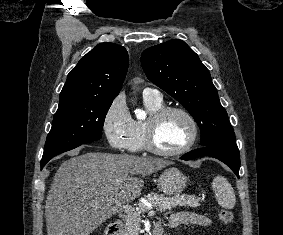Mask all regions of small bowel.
<instances>
[{"label":"small bowel","instance_id":"small-bowel-1","mask_svg":"<svg viewBox=\"0 0 283 235\" xmlns=\"http://www.w3.org/2000/svg\"><path fill=\"white\" fill-rule=\"evenodd\" d=\"M189 224L208 226L211 224V221L205 215L187 211L174 213L169 221V225L171 228H178L180 226Z\"/></svg>","mask_w":283,"mask_h":235}]
</instances>
